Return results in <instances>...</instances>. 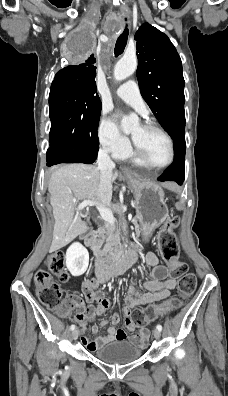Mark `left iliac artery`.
I'll return each instance as SVG.
<instances>
[{
  "label": "left iliac artery",
  "instance_id": "1",
  "mask_svg": "<svg viewBox=\"0 0 228 396\" xmlns=\"http://www.w3.org/2000/svg\"><path fill=\"white\" fill-rule=\"evenodd\" d=\"M159 331H162V326L160 324L157 325L156 327Z\"/></svg>",
  "mask_w": 228,
  "mask_h": 396
}]
</instances>
